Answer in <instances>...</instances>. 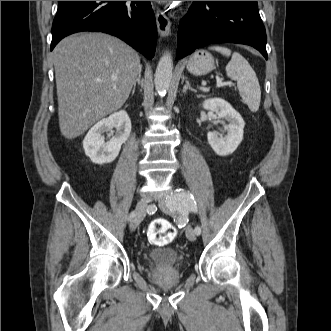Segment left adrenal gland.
<instances>
[{
	"mask_svg": "<svg viewBox=\"0 0 331 331\" xmlns=\"http://www.w3.org/2000/svg\"><path fill=\"white\" fill-rule=\"evenodd\" d=\"M185 82H186V84L184 85L183 90H182L183 93H186L187 90H191V91H193V92H196V90L193 89V88L190 86L189 81H188L187 79H186Z\"/></svg>",
	"mask_w": 331,
	"mask_h": 331,
	"instance_id": "a2214340",
	"label": "left adrenal gland"
}]
</instances>
